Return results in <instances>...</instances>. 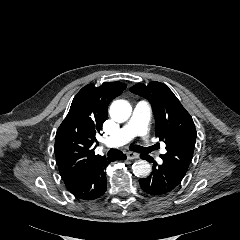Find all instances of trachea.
Instances as JSON below:
<instances>
[{"instance_id": "trachea-1", "label": "trachea", "mask_w": 240, "mask_h": 240, "mask_svg": "<svg viewBox=\"0 0 240 240\" xmlns=\"http://www.w3.org/2000/svg\"><path fill=\"white\" fill-rule=\"evenodd\" d=\"M129 149L131 151H135V152H142V151H145L142 147L138 146V145H131L129 147ZM118 153H121L120 150H117V149H110L108 152H107V155L110 156V155H113V154H118Z\"/></svg>"}]
</instances>
